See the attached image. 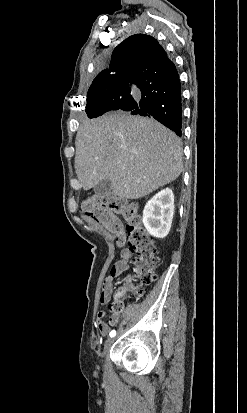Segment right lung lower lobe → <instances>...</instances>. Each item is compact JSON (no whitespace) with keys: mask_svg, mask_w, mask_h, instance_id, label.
<instances>
[{"mask_svg":"<svg viewBox=\"0 0 247 413\" xmlns=\"http://www.w3.org/2000/svg\"><path fill=\"white\" fill-rule=\"evenodd\" d=\"M125 82L130 90L126 95L107 98L87 113L88 117L96 118L112 110L152 116L181 136V84L172 61L154 73L130 74Z\"/></svg>","mask_w":247,"mask_h":413,"instance_id":"obj_1","label":"right lung lower lobe"}]
</instances>
